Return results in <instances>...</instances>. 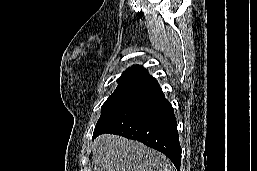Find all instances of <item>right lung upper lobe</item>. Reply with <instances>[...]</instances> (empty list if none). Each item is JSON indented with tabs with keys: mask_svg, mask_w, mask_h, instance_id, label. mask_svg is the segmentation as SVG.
<instances>
[{
	"mask_svg": "<svg viewBox=\"0 0 257 171\" xmlns=\"http://www.w3.org/2000/svg\"><path fill=\"white\" fill-rule=\"evenodd\" d=\"M117 82V88L127 90L135 89L142 86H146L149 90L150 88L158 85L156 79L149 75L147 70L143 66L139 65L129 67L117 79Z\"/></svg>",
	"mask_w": 257,
	"mask_h": 171,
	"instance_id": "1",
	"label": "right lung upper lobe"
}]
</instances>
